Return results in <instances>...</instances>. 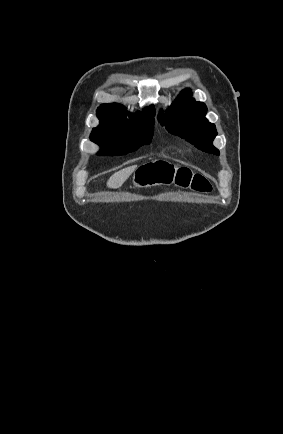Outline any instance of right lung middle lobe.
Segmentation results:
<instances>
[{"label":"right lung middle lobe","instance_id":"1","mask_svg":"<svg viewBox=\"0 0 283 434\" xmlns=\"http://www.w3.org/2000/svg\"><path fill=\"white\" fill-rule=\"evenodd\" d=\"M153 125L148 123L132 128L92 130L90 139L101 146L100 154L124 155L150 143Z\"/></svg>","mask_w":283,"mask_h":434}]
</instances>
